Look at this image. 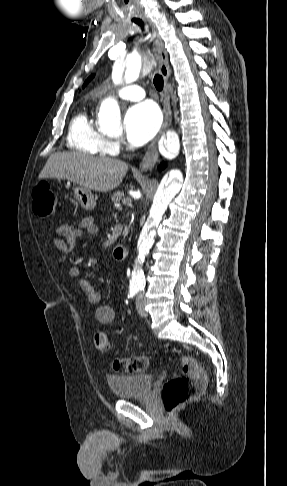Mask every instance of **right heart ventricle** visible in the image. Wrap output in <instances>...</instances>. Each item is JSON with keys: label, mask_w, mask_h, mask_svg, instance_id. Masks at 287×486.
<instances>
[{"label": "right heart ventricle", "mask_w": 287, "mask_h": 486, "mask_svg": "<svg viewBox=\"0 0 287 486\" xmlns=\"http://www.w3.org/2000/svg\"><path fill=\"white\" fill-rule=\"evenodd\" d=\"M68 146L80 153L106 156L112 154L109 140L94 125L86 111L74 116L70 123Z\"/></svg>", "instance_id": "e07e8e85"}]
</instances>
